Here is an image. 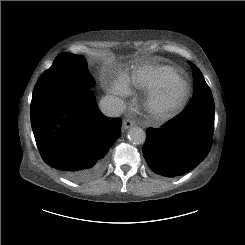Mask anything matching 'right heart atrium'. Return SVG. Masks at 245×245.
<instances>
[{
	"label": "right heart atrium",
	"mask_w": 245,
	"mask_h": 245,
	"mask_svg": "<svg viewBox=\"0 0 245 245\" xmlns=\"http://www.w3.org/2000/svg\"><path fill=\"white\" fill-rule=\"evenodd\" d=\"M108 91L115 97H124L129 94V86L122 74H115L108 83Z\"/></svg>",
	"instance_id": "right-heart-atrium-1"
}]
</instances>
